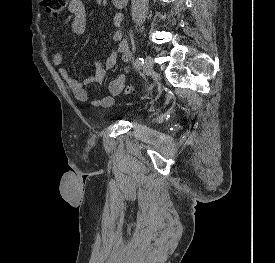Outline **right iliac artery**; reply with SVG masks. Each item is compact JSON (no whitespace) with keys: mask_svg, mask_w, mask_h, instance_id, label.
<instances>
[{"mask_svg":"<svg viewBox=\"0 0 275 263\" xmlns=\"http://www.w3.org/2000/svg\"><path fill=\"white\" fill-rule=\"evenodd\" d=\"M143 64H144V60H143V58L140 57V58H138V59L135 60L134 67L136 69H140Z\"/></svg>","mask_w":275,"mask_h":263,"instance_id":"obj_1","label":"right iliac artery"}]
</instances>
